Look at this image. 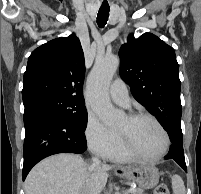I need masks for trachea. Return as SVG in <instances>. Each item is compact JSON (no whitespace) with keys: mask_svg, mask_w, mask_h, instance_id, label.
<instances>
[{"mask_svg":"<svg viewBox=\"0 0 201 194\" xmlns=\"http://www.w3.org/2000/svg\"><path fill=\"white\" fill-rule=\"evenodd\" d=\"M109 11V4L104 1L97 14V24L100 28H103L106 25L109 17Z\"/></svg>","mask_w":201,"mask_h":194,"instance_id":"1","label":"trachea"}]
</instances>
